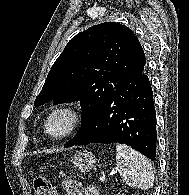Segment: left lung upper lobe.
<instances>
[{"instance_id":"obj_1","label":"left lung upper lobe","mask_w":189,"mask_h":195,"mask_svg":"<svg viewBox=\"0 0 189 195\" xmlns=\"http://www.w3.org/2000/svg\"><path fill=\"white\" fill-rule=\"evenodd\" d=\"M145 62L129 28L115 22L92 26L68 42L34 105L80 101L85 122L113 91L141 75Z\"/></svg>"}]
</instances>
